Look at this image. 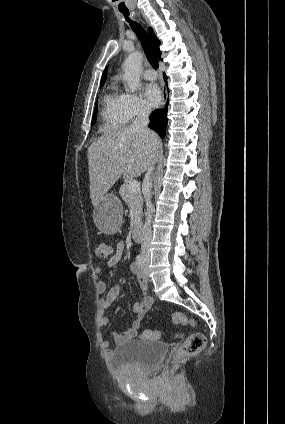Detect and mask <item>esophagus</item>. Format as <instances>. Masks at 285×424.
<instances>
[{
  "mask_svg": "<svg viewBox=\"0 0 285 424\" xmlns=\"http://www.w3.org/2000/svg\"><path fill=\"white\" fill-rule=\"evenodd\" d=\"M166 97H167V91H166V89L163 88V91H162V106H161V108H164L165 107Z\"/></svg>",
  "mask_w": 285,
  "mask_h": 424,
  "instance_id": "34e87169",
  "label": "esophagus"
}]
</instances>
